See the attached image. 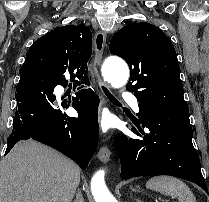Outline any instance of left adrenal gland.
Returning a JSON list of instances; mask_svg holds the SVG:
<instances>
[{"mask_svg":"<svg viewBox=\"0 0 209 202\" xmlns=\"http://www.w3.org/2000/svg\"><path fill=\"white\" fill-rule=\"evenodd\" d=\"M136 202H141L139 199H136Z\"/></svg>","mask_w":209,"mask_h":202,"instance_id":"left-adrenal-gland-1","label":"left adrenal gland"}]
</instances>
